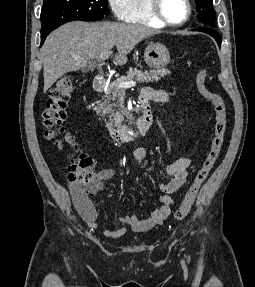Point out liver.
I'll list each match as a JSON object with an SVG mask.
<instances>
[{"label":"liver","mask_w":255,"mask_h":287,"mask_svg":"<svg viewBox=\"0 0 255 287\" xmlns=\"http://www.w3.org/2000/svg\"><path fill=\"white\" fill-rule=\"evenodd\" d=\"M159 34L157 30L121 24V22H69L45 40L41 48L43 64L44 94L67 72H76L86 66L88 60L99 58L104 52H110L117 46L115 60L118 66H124L131 50L136 44Z\"/></svg>","instance_id":"obj_1"}]
</instances>
